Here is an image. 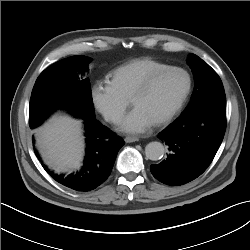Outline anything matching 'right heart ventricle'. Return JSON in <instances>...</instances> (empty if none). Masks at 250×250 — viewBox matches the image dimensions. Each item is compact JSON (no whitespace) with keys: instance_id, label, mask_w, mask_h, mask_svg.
I'll return each mask as SVG.
<instances>
[{"instance_id":"obj_1","label":"right heart ventricle","mask_w":250,"mask_h":250,"mask_svg":"<svg viewBox=\"0 0 250 250\" xmlns=\"http://www.w3.org/2000/svg\"><path fill=\"white\" fill-rule=\"evenodd\" d=\"M167 66L151 57L132 59L113 69L110 81L121 94L130 99L147 76Z\"/></svg>"}]
</instances>
